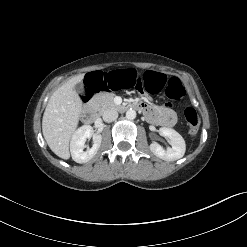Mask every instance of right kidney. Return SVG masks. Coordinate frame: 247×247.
<instances>
[{
  "instance_id": "1",
  "label": "right kidney",
  "mask_w": 247,
  "mask_h": 247,
  "mask_svg": "<svg viewBox=\"0 0 247 247\" xmlns=\"http://www.w3.org/2000/svg\"><path fill=\"white\" fill-rule=\"evenodd\" d=\"M93 135V128L90 125L80 127L72 136L70 151L72 159L77 163H86L91 160L97 153L102 137L101 135L93 136V146L84 151L86 139Z\"/></svg>"
}]
</instances>
